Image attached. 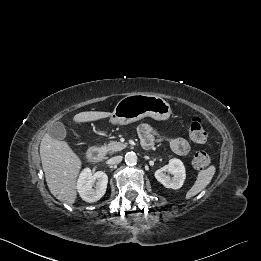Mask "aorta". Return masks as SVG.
I'll return each mask as SVG.
<instances>
[{
	"mask_svg": "<svg viewBox=\"0 0 261 261\" xmlns=\"http://www.w3.org/2000/svg\"><path fill=\"white\" fill-rule=\"evenodd\" d=\"M125 162L127 165H135L137 163V155L134 152H127Z\"/></svg>",
	"mask_w": 261,
	"mask_h": 261,
	"instance_id": "762f6f07",
	"label": "aorta"
}]
</instances>
